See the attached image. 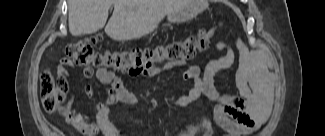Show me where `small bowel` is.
Here are the masks:
<instances>
[{"mask_svg":"<svg viewBox=\"0 0 325 136\" xmlns=\"http://www.w3.org/2000/svg\"><path fill=\"white\" fill-rule=\"evenodd\" d=\"M213 34V31L209 32L207 45L211 44ZM212 46L223 52V55L209 61L203 69L192 65L179 73L180 79L192 81L193 87L186 94L166 97V100L170 105L179 108L186 107L204 97L217 100L219 104L214 109V118L219 125L230 134L250 133L267 120L271 108L272 96L268 83L266 55L263 51L248 50L241 39H237L234 46L222 40L212 42ZM237 59L235 84L238 95L218 96L213 85V76L229 69ZM182 64L183 62L167 63L164 68L171 69ZM71 67L72 64L63 59L56 70L59 91L64 93V98H73L74 95L73 91H69L71 84L67 76L68 69ZM158 70L155 68L147 71L145 77L148 79L155 77ZM94 75L100 83L111 87L107 99L95 107V120L89 121V115L77 111L71 100L64 110L65 117L84 135L93 136L100 133L104 136H122L110 120V106L113 103L135 104L138 102V95L128 90L113 72L101 68L94 72L91 68H85V78H91ZM88 90L90 92V89ZM211 125V119L207 116L203 117L197 133H206Z\"/></svg>","mask_w":325,"mask_h":136,"instance_id":"small-bowel-1","label":"small bowel"}]
</instances>
